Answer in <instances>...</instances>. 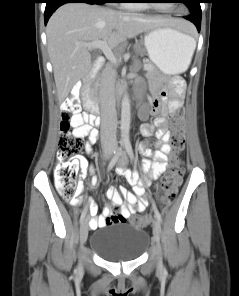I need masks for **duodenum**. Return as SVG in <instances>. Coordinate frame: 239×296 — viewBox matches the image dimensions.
<instances>
[{"mask_svg": "<svg viewBox=\"0 0 239 296\" xmlns=\"http://www.w3.org/2000/svg\"><path fill=\"white\" fill-rule=\"evenodd\" d=\"M103 58L98 56L94 67L90 75L84 80L83 83H78L75 86L74 95H78L82 92V104L83 106L90 111L93 115V125L99 127L100 118H99V106L93 94V84L98 74L99 69L101 68Z\"/></svg>", "mask_w": 239, "mask_h": 296, "instance_id": "1", "label": "duodenum"}]
</instances>
